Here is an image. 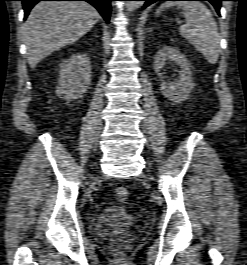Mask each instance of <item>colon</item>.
Instances as JSON below:
<instances>
[{"mask_svg": "<svg viewBox=\"0 0 247 265\" xmlns=\"http://www.w3.org/2000/svg\"><path fill=\"white\" fill-rule=\"evenodd\" d=\"M116 192L121 201H126L129 197V191L125 186H118Z\"/></svg>", "mask_w": 247, "mask_h": 265, "instance_id": "5ec220e1", "label": "colon"}]
</instances>
